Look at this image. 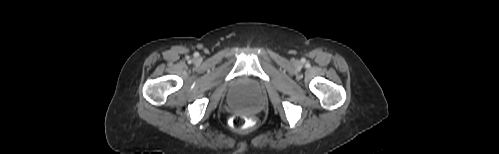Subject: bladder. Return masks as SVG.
<instances>
[{
	"instance_id": "1",
	"label": "bladder",
	"mask_w": 499,
	"mask_h": 154,
	"mask_svg": "<svg viewBox=\"0 0 499 154\" xmlns=\"http://www.w3.org/2000/svg\"><path fill=\"white\" fill-rule=\"evenodd\" d=\"M252 88L250 84H244L240 87L239 92L242 96H236L233 98V104L236 108L241 110H252L255 107V104L252 100L245 97V94Z\"/></svg>"
}]
</instances>
